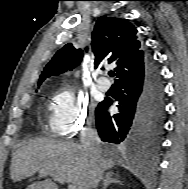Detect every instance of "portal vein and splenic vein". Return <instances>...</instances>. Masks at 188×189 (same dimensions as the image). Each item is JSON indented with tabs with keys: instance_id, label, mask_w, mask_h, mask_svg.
<instances>
[{
	"instance_id": "1",
	"label": "portal vein and splenic vein",
	"mask_w": 188,
	"mask_h": 189,
	"mask_svg": "<svg viewBox=\"0 0 188 189\" xmlns=\"http://www.w3.org/2000/svg\"><path fill=\"white\" fill-rule=\"evenodd\" d=\"M39 174L41 176H46V175H50L51 177H53L56 181L60 182V183H65L66 181L59 175L55 174L54 172L51 171H43L41 170L39 172ZM68 189H76V186L73 184H68Z\"/></svg>"
}]
</instances>
